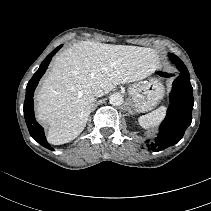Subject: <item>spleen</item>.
<instances>
[{
    "label": "spleen",
    "mask_w": 211,
    "mask_h": 211,
    "mask_svg": "<svg viewBox=\"0 0 211 211\" xmlns=\"http://www.w3.org/2000/svg\"><path fill=\"white\" fill-rule=\"evenodd\" d=\"M166 106H161L149 114L139 117V124L144 129H150L160 124L166 115Z\"/></svg>",
    "instance_id": "obj_1"
}]
</instances>
